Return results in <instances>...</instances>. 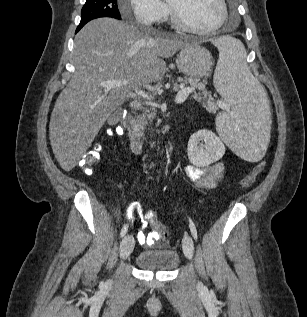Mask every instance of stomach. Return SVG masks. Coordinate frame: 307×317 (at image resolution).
I'll use <instances>...</instances> for the list:
<instances>
[{
    "instance_id": "1",
    "label": "stomach",
    "mask_w": 307,
    "mask_h": 317,
    "mask_svg": "<svg viewBox=\"0 0 307 317\" xmlns=\"http://www.w3.org/2000/svg\"><path fill=\"white\" fill-rule=\"evenodd\" d=\"M178 69L190 78L208 77L213 65L211 53L198 44H189L176 57Z\"/></svg>"
}]
</instances>
